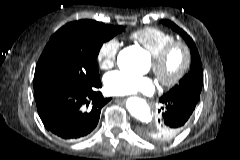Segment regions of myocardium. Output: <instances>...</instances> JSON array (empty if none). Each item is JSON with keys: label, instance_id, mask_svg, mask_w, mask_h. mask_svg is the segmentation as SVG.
I'll return each instance as SVG.
<instances>
[{"label": "myocardium", "instance_id": "f54148a6", "mask_svg": "<svg viewBox=\"0 0 240 160\" xmlns=\"http://www.w3.org/2000/svg\"><path fill=\"white\" fill-rule=\"evenodd\" d=\"M174 51H179L182 55V62L177 72L166 77L164 74L165 67L170 55ZM191 65V53L188 46L180 41H172L164 46L156 55H152L153 71L159 83L166 88L177 86L186 76Z\"/></svg>", "mask_w": 240, "mask_h": 160}]
</instances>
